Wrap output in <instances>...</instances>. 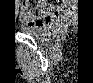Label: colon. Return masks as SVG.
<instances>
[{
    "instance_id": "colon-1",
    "label": "colon",
    "mask_w": 93,
    "mask_h": 83,
    "mask_svg": "<svg viewBox=\"0 0 93 83\" xmlns=\"http://www.w3.org/2000/svg\"><path fill=\"white\" fill-rule=\"evenodd\" d=\"M26 2L30 4V8L24 11L28 16V21L40 25H45L55 21L62 12L66 11L67 6L71 4V1H52L53 3H57V5L50 7H37L36 4H41L43 1Z\"/></svg>"
}]
</instances>
